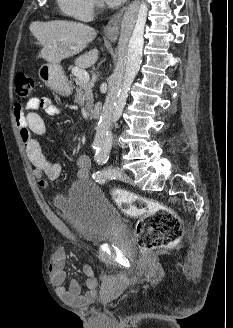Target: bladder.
<instances>
[{"instance_id":"1","label":"bladder","mask_w":233,"mask_h":328,"mask_svg":"<svg viewBox=\"0 0 233 328\" xmlns=\"http://www.w3.org/2000/svg\"><path fill=\"white\" fill-rule=\"evenodd\" d=\"M54 202L65 221L86 241L103 242L117 233L128 235L116 207L89 180L74 182Z\"/></svg>"}]
</instances>
